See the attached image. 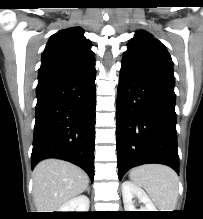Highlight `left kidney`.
I'll use <instances>...</instances> for the list:
<instances>
[{"mask_svg": "<svg viewBox=\"0 0 203 219\" xmlns=\"http://www.w3.org/2000/svg\"><path fill=\"white\" fill-rule=\"evenodd\" d=\"M122 196L125 211H157L144 190L130 181H124L122 183ZM134 197H137L139 202L145 206L141 207V209H136L132 200Z\"/></svg>", "mask_w": 203, "mask_h": 219, "instance_id": "obj_1", "label": "left kidney"}]
</instances>
